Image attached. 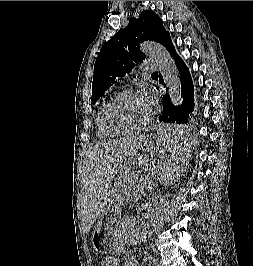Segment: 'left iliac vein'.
<instances>
[{"label": "left iliac vein", "mask_w": 253, "mask_h": 266, "mask_svg": "<svg viewBox=\"0 0 253 266\" xmlns=\"http://www.w3.org/2000/svg\"><path fill=\"white\" fill-rule=\"evenodd\" d=\"M157 266H162V264L161 263H158V265Z\"/></svg>", "instance_id": "obj_1"}]
</instances>
